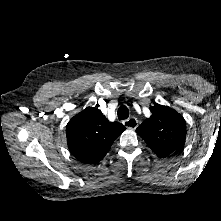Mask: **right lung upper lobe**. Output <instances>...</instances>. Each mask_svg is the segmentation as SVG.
I'll return each mask as SVG.
<instances>
[{"mask_svg":"<svg viewBox=\"0 0 221 221\" xmlns=\"http://www.w3.org/2000/svg\"><path fill=\"white\" fill-rule=\"evenodd\" d=\"M124 130L121 123L109 122L99 109L87 107L66 126L68 147L80 162L97 163Z\"/></svg>","mask_w":221,"mask_h":221,"instance_id":"right-lung-upper-lobe-1","label":"right lung upper lobe"}]
</instances>
